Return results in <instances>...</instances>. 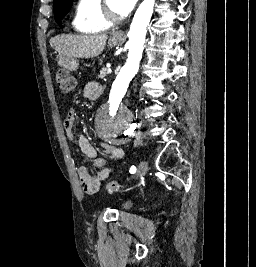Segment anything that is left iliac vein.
Here are the masks:
<instances>
[{
    "mask_svg": "<svg viewBox=\"0 0 256 267\" xmlns=\"http://www.w3.org/2000/svg\"><path fill=\"white\" fill-rule=\"evenodd\" d=\"M148 171L147 161L143 160L138 165V176L146 174Z\"/></svg>",
    "mask_w": 256,
    "mask_h": 267,
    "instance_id": "left-iliac-vein-1",
    "label": "left iliac vein"
}]
</instances>
